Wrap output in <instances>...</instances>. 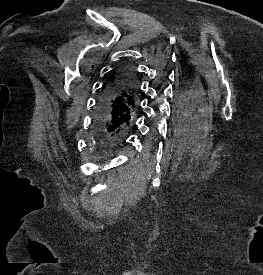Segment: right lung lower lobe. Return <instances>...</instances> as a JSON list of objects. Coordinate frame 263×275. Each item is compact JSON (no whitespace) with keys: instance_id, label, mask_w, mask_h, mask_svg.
<instances>
[{"instance_id":"right-lung-lower-lobe-1","label":"right lung lower lobe","mask_w":263,"mask_h":275,"mask_svg":"<svg viewBox=\"0 0 263 275\" xmlns=\"http://www.w3.org/2000/svg\"><path fill=\"white\" fill-rule=\"evenodd\" d=\"M121 75L134 79L130 70H126ZM126 93L120 83H114L104 88L97 100L93 132L98 138L99 145L105 151L119 144L132 125L134 116L124 114L122 109V102Z\"/></svg>"}]
</instances>
